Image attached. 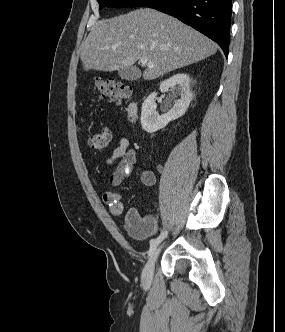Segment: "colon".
<instances>
[{"instance_id": "5ec220e1", "label": "colon", "mask_w": 285, "mask_h": 332, "mask_svg": "<svg viewBox=\"0 0 285 332\" xmlns=\"http://www.w3.org/2000/svg\"><path fill=\"white\" fill-rule=\"evenodd\" d=\"M93 88L102 98H110L115 102H120L127 98L131 89L124 84L113 80H96ZM111 133L108 128H102L94 131L88 138V144L91 148L104 152L108 149L110 143Z\"/></svg>"}]
</instances>
